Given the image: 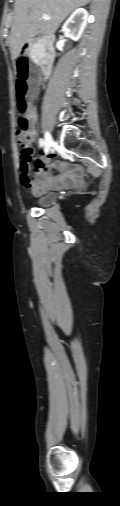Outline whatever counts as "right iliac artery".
<instances>
[{"label":"right iliac artery","instance_id":"1","mask_svg":"<svg viewBox=\"0 0 120 506\" xmlns=\"http://www.w3.org/2000/svg\"><path fill=\"white\" fill-rule=\"evenodd\" d=\"M44 145H45L44 140H43L42 138H40V139H39V147H40V148H43V147H44Z\"/></svg>","mask_w":120,"mask_h":506}]
</instances>
